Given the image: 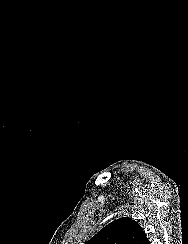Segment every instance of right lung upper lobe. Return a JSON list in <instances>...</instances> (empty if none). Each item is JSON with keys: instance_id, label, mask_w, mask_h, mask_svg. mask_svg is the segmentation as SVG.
Listing matches in <instances>:
<instances>
[{"instance_id": "1", "label": "right lung upper lobe", "mask_w": 188, "mask_h": 244, "mask_svg": "<svg viewBox=\"0 0 188 244\" xmlns=\"http://www.w3.org/2000/svg\"><path fill=\"white\" fill-rule=\"evenodd\" d=\"M86 244H150V241L135 220L122 217L101 229Z\"/></svg>"}]
</instances>
